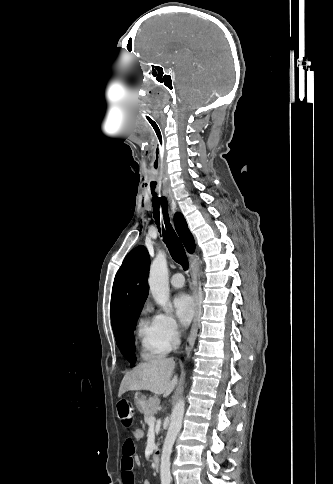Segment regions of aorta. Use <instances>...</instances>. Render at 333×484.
I'll return each mask as SVG.
<instances>
[{"label":"aorta","mask_w":333,"mask_h":484,"mask_svg":"<svg viewBox=\"0 0 333 484\" xmlns=\"http://www.w3.org/2000/svg\"><path fill=\"white\" fill-rule=\"evenodd\" d=\"M148 284L157 304L168 312L167 306L170 298V288L167 261L164 253H159L151 263ZM184 411L185 401L182 399L178 401L172 411L169 428L162 448L160 459L161 484L171 483L170 456L174 442L182 427Z\"/></svg>","instance_id":"aorta-1"}]
</instances>
